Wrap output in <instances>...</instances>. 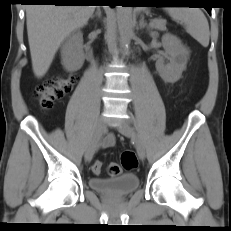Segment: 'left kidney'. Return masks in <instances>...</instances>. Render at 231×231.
Here are the masks:
<instances>
[{"label": "left kidney", "mask_w": 231, "mask_h": 231, "mask_svg": "<svg viewBox=\"0 0 231 231\" xmlns=\"http://www.w3.org/2000/svg\"><path fill=\"white\" fill-rule=\"evenodd\" d=\"M165 54L156 61V69L166 83L177 82L186 69L189 57L188 49L174 35L165 34L162 37ZM168 60V63H165Z\"/></svg>", "instance_id": "1"}]
</instances>
